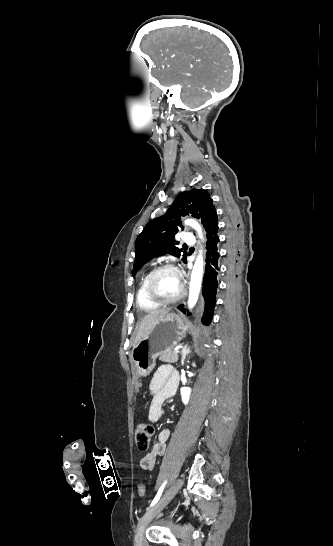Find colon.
<instances>
[{
    "label": "colon",
    "mask_w": 333,
    "mask_h": 546,
    "mask_svg": "<svg viewBox=\"0 0 333 546\" xmlns=\"http://www.w3.org/2000/svg\"><path fill=\"white\" fill-rule=\"evenodd\" d=\"M154 434V428L149 423H141L135 430V442L139 451H146L149 448L152 437ZM145 486L140 484L138 486V494L143 496L145 494Z\"/></svg>",
    "instance_id": "obj_1"
}]
</instances>
